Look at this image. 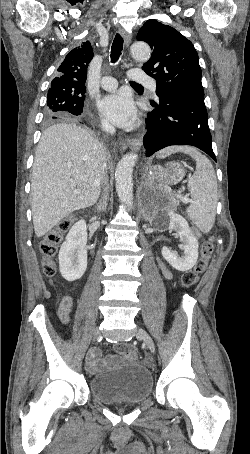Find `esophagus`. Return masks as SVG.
Returning a JSON list of instances; mask_svg holds the SVG:
<instances>
[{
    "mask_svg": "<svg viewBox=\"0 0 250 454\" xmlns=\"http://www.w3.org/2000/svg\"><path fill=\"white\" fill-rule=\"evenodd\" d=\"M120 34L124 38L125 45L128 46L131 43V34L123 29H120ZM127 144L131 149L138 151L142 146V141L139 139H129Z\"/></svg>",
    "mask_w": 250,
    "mask_h": 454,
    "instance_id": "34e87169",
    "label": "esophagus"
}]
</instances>
